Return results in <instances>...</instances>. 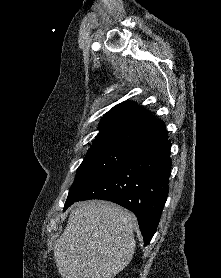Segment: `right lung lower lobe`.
<instances>
[{"mask_svg": "<svg viewBox=\"0 0 221 278\" xmlns=\"http://www.w3.org/2000/svg\"><path fill=\"white\" fill-rule=\"evenodd\" d=\"M170 140L134 147L131 156L90 186L77 201L101 199L132 211L144 245L156 232L169 190Z\"/></svg>", "mask_w": 221, "mask_h": 278, "instance_id": "1", "label": "right lung lower lobe"}]
</instances>
